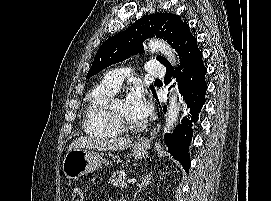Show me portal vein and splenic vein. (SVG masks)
Here are the masks:
<instances>
[{
	"label": "portal vein and splenic vein",
	"instance_id": "1",
	"mask_svg": "<svg viewBox=\"0 0 271 201\" xmlns=\"http://www.w3.org/2000/svg\"><path fill=\"white\" fill-rule=\"evenodd\" d=\"M136 179L135 178H131V179H128L127 182L128 183H136Z\"/></svg>",
	"mask_w": 271,
	"mask_h": 201
}]
</instances>
